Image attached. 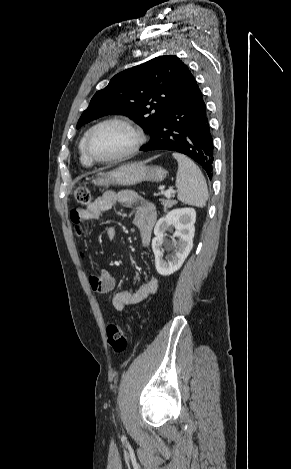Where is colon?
<instances>
[{
	"label": "colon",
	"mask_w": 291,
	"mask_h": 469,
	"mask_svg": "<svg viewBox=\"0 0 291 469\" xmlns=\"http://www.w3.org/2000/svg\"><path fill=\"white\" fill-rule=\"evenodd\" d=\"M74 200L80 205L89 204L91 201L90 190L85 186L76 187L74 190ZM73 212H76V210ZM106 334L108 344L115 352H123L126 350L129 336L120 324L113 323L108 325Z\"/></svg>",
	"instance_id": "1"
}]
</instances>
